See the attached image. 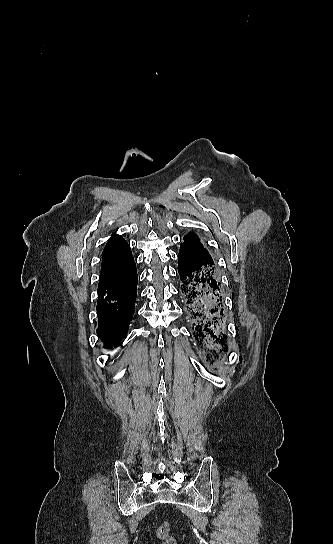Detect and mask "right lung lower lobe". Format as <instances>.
Wrapping results in <instances>:
<instances>
[{
    "label": "right lung lower lobe",
    "instance_id": "98d812e1",
    "mask_svg": "<svg viewBox=\"0 0 333 544\" xmlns=\"http://www.w3.org/2000/svg\"><path fill=\"white\" fill-rule=\"evenodd\" d=\"M137 297V270L133 262L119 276L98 285V336L106 348L126 337Z\"/></svg>",
    "mask_w": 333,
    "mask_h": 544
}]
</instances>
